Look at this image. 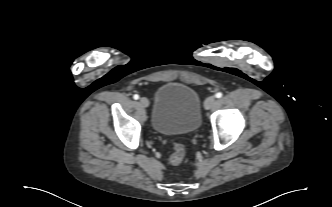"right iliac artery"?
Instances as JSON below:
<instances>
[{
    "label": "right iliac artery",
    "mask_w": 332,
    "mask_h": 207,
    "mask_svg": "<svg viewBox=\"0 0 332 207\" xmlns=\"http://www.w3.org/2000/svg\"><path fill=\"white\" fill-rule=\"evenodd\" d=\"M133 98H134L135 100H138V99H139V95L135 94V95L133 96Z\"/></svg>",
    "instance_id": "obj_1"
}]
</instances>
